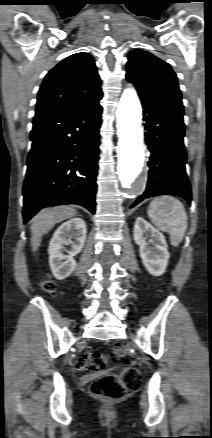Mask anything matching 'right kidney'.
Instances as JSON below:
<instances>
[{
	"label": "right kidney",
	"instance_id": "right-kidney-1",
	"mask_svg": "<svg viewBox=\"0 0 212 438\" xmlns=\"http://www.w3.org/2000/svg\"><path fill=\"white\" fill-rule=\"evenodd\" d=\"M86 232L85 221L81 218L70 219L55 231L48 253L50 268L56 279H65L74 271L76 261L73 257L82 250Z\"/></svg>",
	"mask_w": 212,
	"mask_h": 438
}]
</instances>
